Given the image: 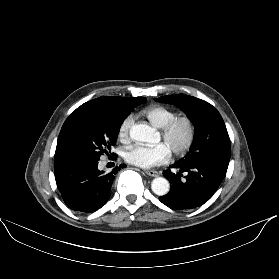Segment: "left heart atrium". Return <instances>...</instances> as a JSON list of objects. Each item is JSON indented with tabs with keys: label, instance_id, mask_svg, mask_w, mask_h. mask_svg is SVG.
<instances>
[{
	"label": "left heart atrium",
	"instance_id": "1",
	"mask_svg": "<svg viewBox=\"0 0 279 279\" xmlns=\"http://www.w3.org/2000/svg\"><path fill=\"white\" fill-rule=\"evenodd\" d=\"M171 151L165 143L153 146L136 144L131 146L125 154L126 160L142 168H150L167 162Z\"/></svg>",
	"mask_w": 279,
	"mask_h": 279
}]
</instances>
